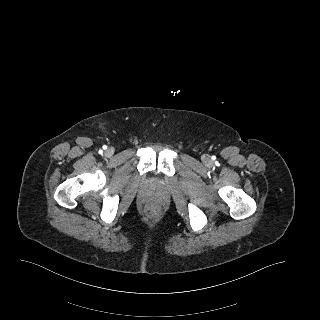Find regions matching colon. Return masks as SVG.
Segmentation results:
<instances>
[{"mask_svg": "<svg viewBox=\"0 0 320 320\" xmlns=\"http://www.w3.org/2000/svg\"><path fill=\"white\" fill-rule=\"evenodd\" d=\"M148 213H149L150 215H155V214H156V210H155V209H149V210H148Z\"/></svg>", "mask_w": 320, "mask_h": 320, "instance_id": "colon-1", "label": "colon"}]
</instances>
